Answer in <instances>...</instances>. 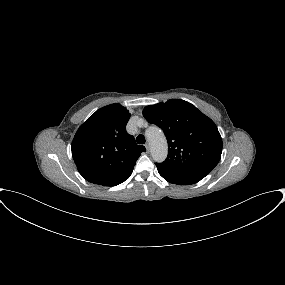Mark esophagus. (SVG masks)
I'll return each mask as SVG.
<instances>
[{"label": "esophagus", "instance_id": "34e87169", "mask_svg": "<svg viewBox=\"0 0 285 285\" xmlns=\"http://www.w3.org/2000/svg\"><path fill=\"white\" fill-rule=\"evenodd\" d=\"M145 148H146L147 152H149L150 148H149L148 144H145Z\"/></svg>", "mask_w": 285, "mask_h": 285}]
</instances>
